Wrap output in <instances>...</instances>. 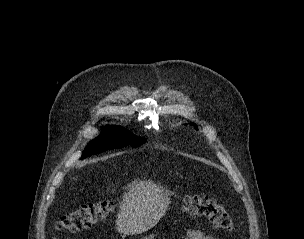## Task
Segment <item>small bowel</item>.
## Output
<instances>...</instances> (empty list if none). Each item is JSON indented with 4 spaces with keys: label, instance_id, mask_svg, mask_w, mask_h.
Here are the masks:
<instances>
[{
    "label": "small bowel",
    "instance_id": "1",
    "mask_svg": "<svg viewBox=\"0 0 304 239\" xmlns=\"http://www.w3.org/2000/svg\"><path fill=\"white\" fill-rule=\"evenodd\" d=\"M185 239H217L198 227H190L184 233ZM58 239V238H53Z\"/></svg>",
    "mask_w": 304,
    "mask_h": 239
}]
</instances>
